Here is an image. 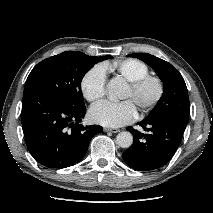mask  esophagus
Returning <instances> with one entry per match:
<instances>
[{
  "mask_svg": "<svg viewBox=\"0 0 213 213\" xmlns=\"http://www.w3.org/2000/svg\"><path fill=\"white\" fill-rule=\"evenodd\" d=\"M105 132L118 133L120 130L118 128H104Z\"/></svg>",
  "mask_w": 213,
  "mask_h": 213,
  "instance_id": "34e87169",
  "label": "esophagus"
}]
</instances>
